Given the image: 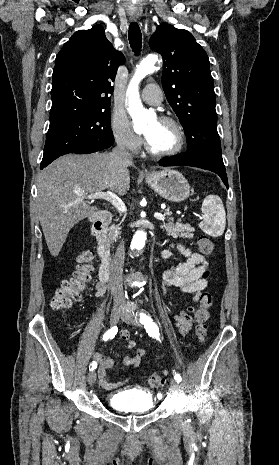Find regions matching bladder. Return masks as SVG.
<instances>
[{
	"label": "bladder",
	"instance_id": "1",
	"mask_svg": "<svg viewBox=\"0 0 279 465\" xmlns=\"http://www.w3.org/2000/svg\"><path fill=\"white\" fill-rule=\"evenodd\" d=\"M109 406L119 412L148 413L155 407L153 394L142 387H130L107 398Z\"/></svg>",
	"mask_w": 279,
	"mask_h": 465
}]
</instances>
